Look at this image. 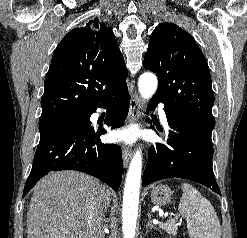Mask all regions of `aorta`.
<instances>
[{
  "label": "aorta",
  "mask_w": 247,
  "mask_h": 238,
  "mask_svg": "<svg viewBox=\"0 0 247 238\" xmlns=\"http://www.w3.org/2000/svg\"><path fill=\"white\" fill-rule=\"evenodd\" d=\"M158 81L154 74L143 73L138 81L140 95L143 99H150L156 89ZM142 172V154L137 150L134 154L125 181L123 193L122 229L124 238H134L138 216L139 192Z\"/></svg>",
  "instance_id": "1"
}]
</instances>
